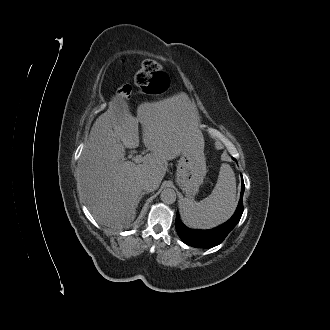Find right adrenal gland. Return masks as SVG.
Wrapping results in <instances>:
<instances>
[{"label":"right adrenal gland","mask_w":330,"mask_h":330,"mask_svg":"<svg viewBox=\"0 0 330 330\" xmlns=\"http://www.w3.org/2000/svg\"><path fill=\"white\" fill-rule=\"evenodd\" d=\"M147 194V192H142V194L140 195V198L138 200V203L136 204V207L138 206L139 202L141 201L142 197Z\"/></svg>","instance_id":"obj_1"}]
</instances>
